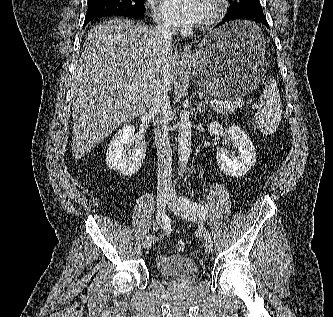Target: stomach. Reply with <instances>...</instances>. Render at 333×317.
<instances>
[{"label":"stomach","instance_id":"1","mask_svg":"<svg viewBox=\"0 0 333 317\" xmlns=\"http://www.w3.org/2000/svg\"><path fill=\"white\" fill-rule=\"evenodd\" d=\"M265 40L261 24L229 23L205 36L185 67L196 86L224 101L261 95L270 75H264Z\"/></svg>","mask_w":333,"mask_h":317}]
</instances>
